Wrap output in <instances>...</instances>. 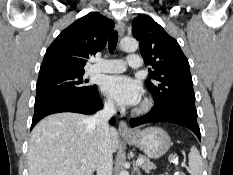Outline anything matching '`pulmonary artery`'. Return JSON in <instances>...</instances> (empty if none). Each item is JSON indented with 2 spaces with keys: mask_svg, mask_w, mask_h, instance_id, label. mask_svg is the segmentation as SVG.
Returning a JSON list of instances; mask_svg holds the SVG:
<instances>
[{
  "mask_svg": "<svg viewBox=\"0 0 233 175\" xmlns=\"http://www.w3.org/2000/svg\"><path fill=\"white\" fill-rule=\"evenodd\" d=\"M126 65L132 69L140 68L142 65L141 57L138 54H131L127 61L120 59H98L96 64L91 67L93 73H119L125 70Z\"/></svg>",
  "mask_w": 233,
  "mask_h": 175,
  "instance_id": "e3ab8cb5",
  "label": "pulmonary artery"
}]
</instances>
